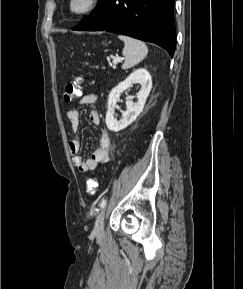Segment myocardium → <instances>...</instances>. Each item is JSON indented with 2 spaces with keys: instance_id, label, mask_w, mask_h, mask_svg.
<instances>
[{
  "instance_id": "obj_1",
  "label": "myocardium",
  "mask_w": 243,
  "mask_h": 289,
  "mask_svg": "<svg viewBox=\"0 0 243 289\" xmlns=\"http://www.w3.org/2000/svg\"><path fill=\"white\" fill-rule=\"evenodd\" d=\"M79 0H69L68 11L75 16H82L93 12L99 5V0H81L82 4L77 6Z\"/></svg>"
}]
</instances>
